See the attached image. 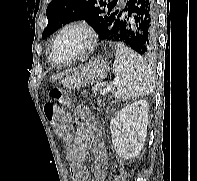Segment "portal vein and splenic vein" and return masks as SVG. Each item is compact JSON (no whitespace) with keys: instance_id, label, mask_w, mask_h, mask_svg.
<instances>
[{"instance_id":"obj_1","label":"portal vein and splenic vein","mask_w":197,"mask_h":181,"mask_svg":"<svg viewBox=\"0 0 197 181\" xmlns=\"http://www.w3.org/2000/svg\"><path fill=\"white\" fill-rule=\"evenodd\" d=\"M112 90V86L111 85H107L106 88H104L102 91H100V93L102 95L106 94L107 92H110Z\"/></svg>"}]
</instances>
